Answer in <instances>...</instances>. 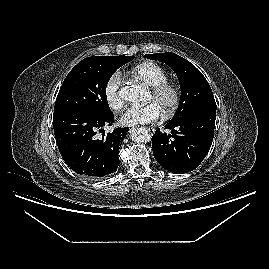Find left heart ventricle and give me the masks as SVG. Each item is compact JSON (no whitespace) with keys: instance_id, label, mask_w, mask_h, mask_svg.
<instances>
[{"instance_id":"left-heart-ventricle-1","label":"left heart ventricle","mask_w":269,"mask_h":269,"mask_svg":"<svg viewBox=\"0 0 269 269\" xmlns=\"http://www.w3.org/2000/svg\"><path fill=\"white\" fill-rule=\"evenodd\" d=\"M171 100L170 94H166L163 97L159 99H155L152 94H150L148 101L156 103V105L159 107L161 112H163L166 107L168 106L169 102Z\"/></svg>"}]
</instances>
